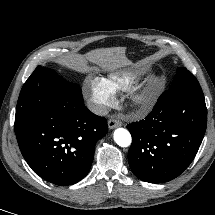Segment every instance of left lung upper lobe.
<instances>
[{"label": "left lung upper lobe", "instance_id": "5c2ea615", "mask_svg": "<svg viewBox=\"0 0 215 215\" xmlns=\"http://www.w3.org/2000/svg\"><path fill=\"white\" fill-rule=\"evenodd\" d=\"M169 89L203 95L202 89L196 77L183 67L177 69L176 75Z\"/></svg>", "mask_w": 215, "mask_h": 215}]
</instances>
